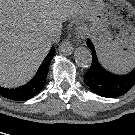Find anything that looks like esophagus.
<instances>
[{
  "instance_id": "1",
  "label": "esophagus",
  "mask_w": 135,
  "mask_h": 135,
  "mask_svg": "<svg viewBox=\"0 0 135 135\" xmlns=\"http://www.w3.org/2000/svg\"><path fill=\"white\" fill-rule=\"evenodd\" d=\"M59 51L65 55H70L73 52V46L69 39H65L59 46Z\"/></svg>"
}]
</instances>
